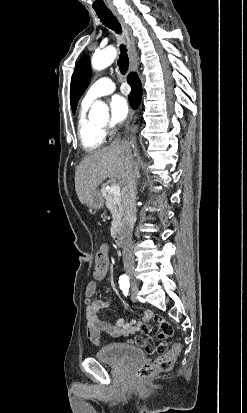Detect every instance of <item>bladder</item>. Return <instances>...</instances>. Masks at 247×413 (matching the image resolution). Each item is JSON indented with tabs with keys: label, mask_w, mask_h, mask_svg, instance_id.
Returning <instances> with one entry per match:
<instances>
[{
	"label": "bladder",
	"mask_w": 247,
	"mask_h": 413,
	"mask_svg": "<svg viewBox=\"0 0 247 413\" xmlns=\"http://www.w3.org/2000/svg\"><path fill=\"white\" fill-rule=\"evenodd\" d=\"M95 358L104 362L126 364L138 358H144V351L121 343H108L102 346Z\"/></svg>",
	"instance_id": "bladder-1"
}]
</instances>
